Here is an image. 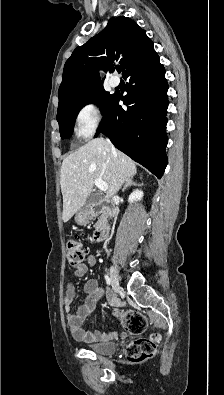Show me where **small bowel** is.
I'll use <instances>...</instances> for the list:
<instances>
[{"mask_svg":"<svg viewBox=\"0 0 224 395\" xmlns=\"http://www.w3.org/2000/svg\"><path fill=\"white\" fill-rule=\"evenodd\" d=\"M87 262L93 266L95 264V258L93 256H88ZM87 271V265L81 263L76 266L75 276L83 277ZM75 294V285L73 283H69L66 289L63 305L66 311L67 325L73 338L77 341L87 343L115 338L117 336L115 333H103L99 330L89 331L83 328L84 322L91 316L96 308L98 300L103 294L98 281L96 279H90L85 283L83 286V303L78 307L77 311L73 312L71 307ZM107 299L110 303L116 302L112 292H107Z\"/></svg>","mask_w":224,"mask_h":395,"instance_id":"1","label":"small bowel"}]
</instances>
